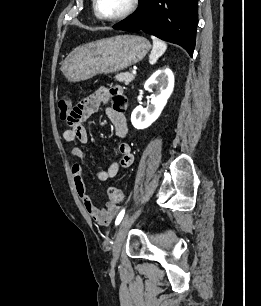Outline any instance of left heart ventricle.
<instances>
[{"instance_id":"1","label":"left heart ventricle","mask_w":261,"mask_h":306,"mask_svg":"<svg viewBox=\"0 0 261 306\" xmlns=\"http://www.w3.org/2000/svg\"><path fill=\"white\" fill-rule=\"evenodd\" d=\"M130 0H98L99 12L104 16H115L122 13Z\"/></svg>"}]
</instances>
